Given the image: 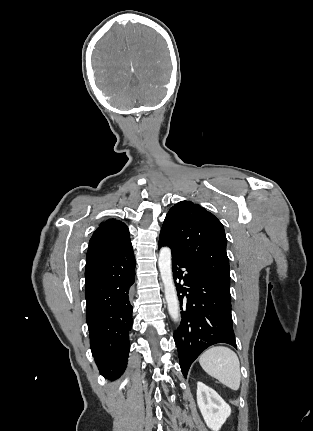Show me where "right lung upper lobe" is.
<instances>
[{
    "label": "right lung upper lobe",
    "mask_w": 313,
    "mask_h": 431,
    "mask_svg": "<svg viewBox=\"0 0 313 431\" xmlns=\"http://www.w3.org/2000/svg\"><path fill=\"white\" fill-rule=\"evenodd\" d=\"M131 243L127 226L116 219L100 224L90 239L86 259L91 260L113 253Z\"/></svg>",
    "instance_id": "right-lung-upper-lobe-1"
}]
</instances>
